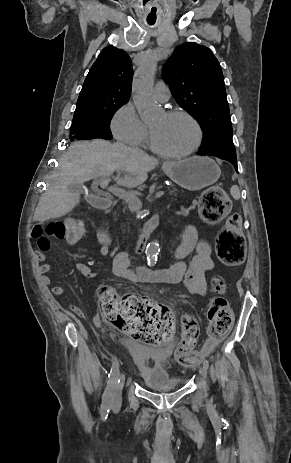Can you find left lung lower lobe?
Instances as JSON below:
<instances>
[{
	"mask_svg": "<svg viewBox=\"0 0 291 463\" xmlns=\"http://www.w3.org/2000/svg\"><path fill=\"white\" fill-rule=\"evenodd\" d=\"M197 155L216 156V157H218L220 159L226 160V161L230 162L234 166L236 171L238 172L236 155L218 154V153H210V152H204V151H198Z\"/></svg>",
	"mask_w": 291,
	"mask_h": 463,
	"instance_id": "1",
	"label": "left lung lower lobe"
}]
</instances>
